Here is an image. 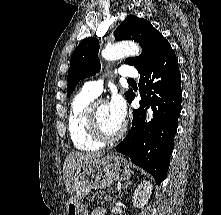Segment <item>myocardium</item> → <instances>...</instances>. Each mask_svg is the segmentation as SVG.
Listing matches in <instances>:
<instances>
[{
	"label": "myocardium",
	"instance_id": "obj_1",
	"mask_svg": "<svg viewBox=\"0 0 221 215\" xmlns=\"http://www.w3.org/2000/svg\"><path fill=\"white\" fill-rule=\"evenodd\" d=\"M107 104L103 98L94 99L91 101L85 110V125L89 135L100 143H113L118 141L126 131L125 125L112 135L106 134L100 127L98 121V108L100 105Z\"/></svg>",
	"mask_w": 221,
	"mask_h": 215
}]
</instances>
